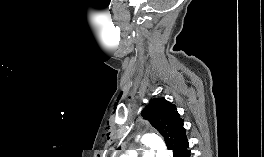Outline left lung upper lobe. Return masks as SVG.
Listing matches in <instances>:
<instances>
[{
    "label": "left lung upper lobe",
    "mask_w": 264,
    "mask_h": 157,
    "mask_svg": "<svg viewBox=\"0 0 264 157\" xmlns=\"http://www.w3.org/2000/svg\"><path fill=\"white\" fill-rule=\"evenodd\" d=\"M142 115L163 136L169 150H173L187 139L183 119L180 118L176 106L165 98L152 99Z\"/></svg>",
    "instance_id": "1"
}]
</instances>
